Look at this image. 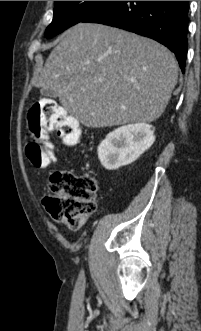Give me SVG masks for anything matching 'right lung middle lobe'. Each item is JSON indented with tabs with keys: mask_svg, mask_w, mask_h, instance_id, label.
<instances>
[{
	"mask_svg": "<svg viewBox=\"0 0 201 331\" xmlns=\"http://www.w3.org/2000/svg\"><path fill=\"white\" fill-rule=\"evenodd\" d=\"M108 1H55L53 21L45 36L51 38L65 29L82 22Z\"/></svg>",
	"mask_w": 201,
	"mask_h": 331,
	"instance_id": "right-lung-middle-lobe-1",
	"label": "right lung middle lobe"
}]
</instances>
